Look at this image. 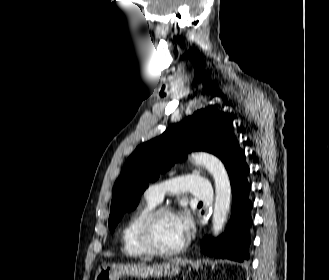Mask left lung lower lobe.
Listing matches in <instances>:
<instances>
[{
    "label": "left lung lower lobe",
    "mask_w": 329,
    "mask_h": 280,
    "mask_svg": "<svg viewBox=\"0 0 329 280\" xmlns=\"http://www.w3.org/2000/svg\"><path fill=\"white\" fill-rule=\"evenodd\" d=\"M249 167L242 153V159L237 168L230 174V182L233 192V213L228 224V229L215 241L204 238L202 250L215 257L243 261L249 258L248 247L250 245V227L252 225V203L248 198L251 186L247 181Z\"/></svg>",
    "instance_id": "0a47b994"
}]
</instances>
